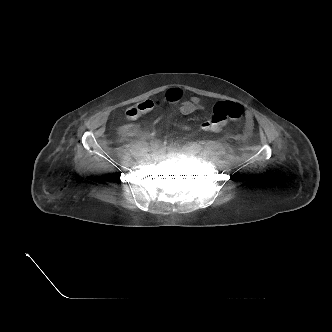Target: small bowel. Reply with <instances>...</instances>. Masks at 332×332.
I'll list each match as a JSON object with an SVG mask.
<instances>
[{
    "label": "small bowel",
    "mask_w": 332,
    "mask_h": 332,
    "mask_svg": "<svg viewBox=\"0 0 332 332\" xmlns=\"http://www.w3.org/2000/svg\"><path fill=\"white\" fill-rule=\"evenodd\" d=\"M169 92H174L178 94V99L182 97V92L179 89H171ZM177 99V100H178ZM204 106L198 96L193 95L189 98L183 99L180 104V112L183 115H190L196 111L203 110ZM254 124L249 114L246 115V122L242 128L241 137H247L253 130Z\"/></svg>",
    "instance_id": "c3829d8e"
}]
</instances>
